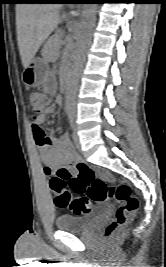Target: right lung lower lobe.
<instances>
[{
    "label": "right lung lower lobe",
    "mask_w": 166,
    "mask_h": 267,
    "mask_svg": "<svg viewBox=\"0 0 166 267\" xmlns=\"http://www.w3.org/2000/svg\"><path fill=\"white\" fill-rule=\"evenodd\" d=\"M27 3H52L54 0H26Z\"/></svg>",
    "instance_id": "obj_1"
}]
</instances>
